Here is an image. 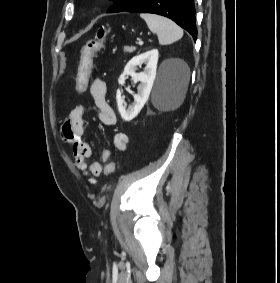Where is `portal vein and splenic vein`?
Segmentation results:
<instances>
[{"label":"portal vein and splenic vein","instance_id":"18ae733b","mask_svg":"<svg viewBox=\"0 0 280 283\" xmlns=\"http://www.w3.org/2000/svg\"><path fill=\"white\" fill-rule=\"evenodd\" d=\"M138 45H143V41H142V40H139V41H138Z\"/></svg>","mask_w":280,"mask_h":283}]
</instances>
